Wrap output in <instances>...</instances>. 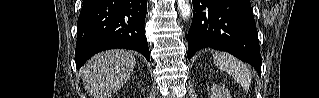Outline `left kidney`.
Returning a JSON list of instances; mask_svg holds the SVG:
<instances>
[{"instance_id": "left-kidney-1", "label": "left kidney", "mask_w": 319, "mask_h": 98, "mask_svg": "<svg viewBox=\"0 0 319 98\" xmlns=\"http://www.w3.org/2000/svg\"><path fill=\"white\" fill-rule=\"evenodd\" d=\"M210 98H231V94L224 86H212Z\"/></svg>"}]
</instances>
